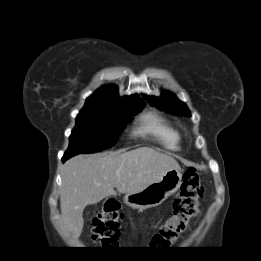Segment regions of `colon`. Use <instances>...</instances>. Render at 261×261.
Segmentation results:
<instances>
[{
	"mask_svg": "<svg viewBox=\"0 0 261 261\" xmlns=\"http://www.w3.org/2000/svg\"><path fill=\"white\" fill-rule=\"evenodd\" d=\"M203 194L204 186L199 174L189 169L183 176L179 197L173 203V214L155 233L151 247H168L179 239L190 220L199 214V201ZM122 218L116 202L106 203L93 218L92 240L104 248L117 247Z\"/></svg>",
	"mask_w": 261,
	"mask_h": 261,
	"instance_id": "1",
	"label": "colon"
}]
</instances>
